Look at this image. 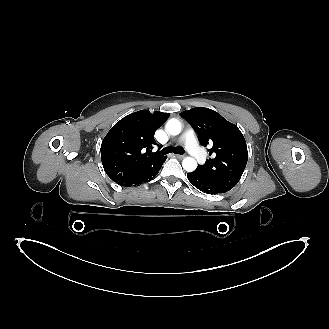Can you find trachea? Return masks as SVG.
<instances>
[{
    "label": "trachea",
    "instance_id": "1",
    "mask_svg": "<svg viewBox=\"0 0 329 329\" xmlns=\"http://www.w3.org/2000/svg\"><path fill=\"white\" fill-rule=\"evenodd\" d=\"M176 153V154H183L184 150L181 147H165L164 149H162V151L160 152L161 155H166L168 153Z\"/></svg>",
    "mask_w": 329,
    "mask_h": 329
}]
</instances>
